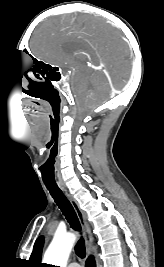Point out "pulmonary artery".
Segmentation results:
<instances>
[{
  "label": "pulmonary artery",
  "instance_id": "obj_1",
  "mask_svg": "<svg viewBox=\"0 0 164 267\" xmlns=\"http://www.w3.org/2000/svg\"><path fill=\"white\" fill-rule=\"evenodd\" d=\"M68 267H80V265L76 262L70 263Z\"/></svg>",
  "mask_w": 164,
  "mask_h": 267
}]
</instances>
